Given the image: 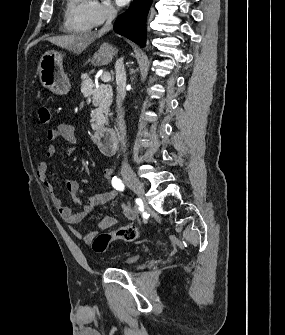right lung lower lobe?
Returning <instances> with one entry per match:
<instances>
[{"label": "right lung lower lobe", "mask_w": 285, "mask_h": 335, "mask_svg": "<svg viewBox=\"0 0 285 335\" xmlns=\"http://www.w3.org/2000/svg\"><path fill=\"white\" fill-rule=\"evenodd\" d=\"M152 0H134L131 7L114 23V30L141 47L146 41V16Z\"/></svg>", "instance_id": "98d812e1"}]
</instances>
